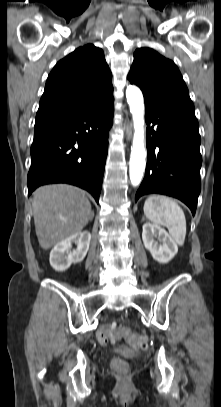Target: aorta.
Here are the masks:
<instances>
[{"label":"aorta","instance_id":"1","mask_svg":"<svg viewBox=\"0 0 221 407\" xmlns=\"http://www.w3.org/2000/svg\"><path fill=\"white\" fill-rule=\"evenodd\" d=\"M126 98L134 125V136L129 162V176L131 184L133 186H138L142 181L146 165V152L144 146V99L141 90L134 85H129L127 87Z\"/></svg>","mask_w":221,"mask_h":407}]
</instances>
